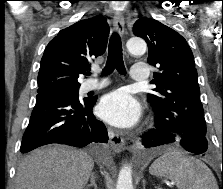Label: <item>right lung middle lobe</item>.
<instances>
[{
    "instance_id": "1",
    "label": "right lung middle lobe",
    "mask_w": 223,
    "mask_h": 189,
    "mask_svg": "<svg viewBox=\"0 0 223 189\" xmlns=\"http://www.w3.org/2000/svg\"><path fill=\"white\" fill-rule=\"evenodd\" d=\"M79 88H60L51 90L41 94H57V95H75L78 96Z\"/></svg>"
}]
</instances>
